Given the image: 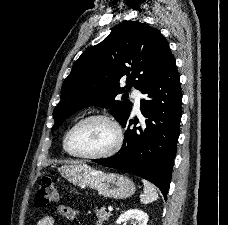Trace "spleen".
I'll use <instances>...</instances> for the list:
<instances>
[{"label": "spleen", "instance_id": "3e777b00", "mask_svg": "<svg viewBox=\"0 0 228 225\" xmlns=\"http://www.w3.org/2000/svg\"><path fill=\"white\" fill-rule=\"evenodd\" d=\"M142 183L144 185V195L140 197L141 203H143V205H148V203H153V201H157L158 193L155 187H153L151 183H148V181H145V179H143Z\"/></svg>", "mask_w": 228, "mask_h": 225}]
</instances>
